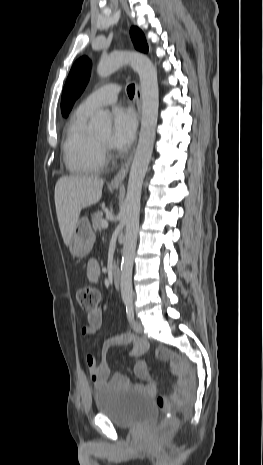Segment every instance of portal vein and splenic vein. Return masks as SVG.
Instances as JSON below:
<instances>
[{"label": "portal vein and splenic vein", "instance_id": "obj_1", "mask_svg": "<svg viewBox=\"0 0 263 465\" xmlns=\"http://www.w3.org/2000/svg\"><path fill=\"white\" fill-rule=\"evenodd\" d=\"M102 228L106 229L108 227V222L106 220L101 221Z\"/></svg>", "mask_w": 263, "mask_h": 465}]
</instances>
